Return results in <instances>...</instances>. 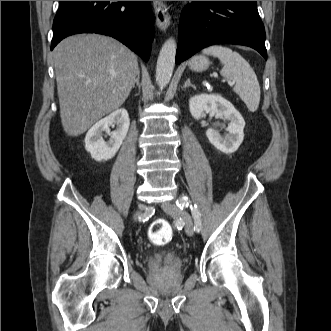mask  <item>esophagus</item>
Segmentation results:
<instances>
[{
	"instance_id": "1",
	"label": "esophagus",
	"mask_w": 331,
	"mask_h": 331,
	"mask_svg": "<svg viewBox=\"0 0 331 331\" xmlns=\"http://www.w3.org/2000/svg\"><path fill=\"white\" fill-rule=\"evenodd\" d=\"M153 8L157 26L160 29L165 30L168 28L171 20L167 6L162 1H153Z\"/></svg>"
}]
</instances>
